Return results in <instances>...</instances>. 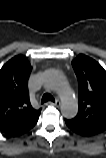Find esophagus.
<instances>
[{
  "mask_svg": "<svg viewBox=\"0 0 106 158\" xmlns=\"http://www.w3.org/2000/svg\"><path fill=\"white\" fill-rule=\"evenodd\" d=\"M48 104L55 105V106H60L61 102L57 99L55 102L49 101Z\"/></svg>",
  "mask_w": 106,
  "mask_h": 158,
  "instance_id": "esophagus-1",
  "label": "esophagus"
}]
</instances>
